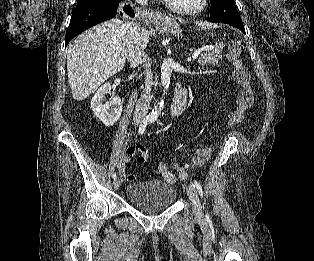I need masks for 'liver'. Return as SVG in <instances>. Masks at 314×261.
<instances>
[{
  "label": "liver",
  "instance_id": "liver-1",
  "mask_svg": "<svg viewBox=\"0 0 314 261\" xmlns=\"http://www.w3.org/2000/svg\"><path fill=\"white\" fill-rule=\"evenodd\" d=\"M127 33L126 23L116 18L86 30L69 46L67 72L75 100L87 98L123 69L127 55ZM148 41V31L143 29L145 48Z\"/></svg>",
  "mask_w": 314,
  "mask_h": 261
}]
</instances>
